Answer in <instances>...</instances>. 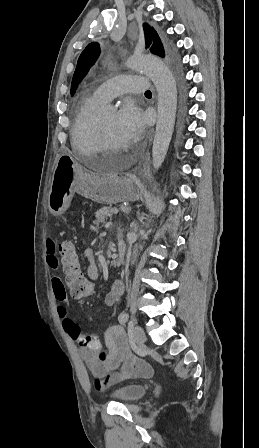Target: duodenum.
Returning <instances> with one entry per match:
<instances>
[{
  "instance_id": "obj_1",
  "label": "duodenum",
  "mask_w": 259,
  "mask_h": 448,
  "mask_svg": "<svg viewBox=\"0 0 259 448\" xmlns=\"http://www.w3.org/2000/svg\"><path fill=\"white\" fill-rule=\"evenodd\" d=\"M125 251H126L125 244L123 242H119L117 245V257L115 260L116 266H119L122 263V261L124 259Z\"/></svg>"
}]
</instances>
